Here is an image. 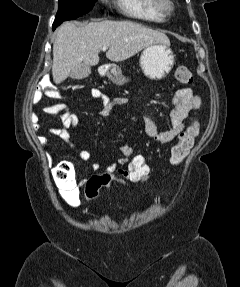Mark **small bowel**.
<instances>
[{"label": "small bowel", "instance_id": "small-bowel-1", "mask_svg": "<svg viewBox=\"0 0 240 287\" xmlns=\"http://www.w3.org/2000/svg\"><path fill=\"white\" fill-rule=\"evenodd\" d=\"M92 97L98 99L102 108L99 115L102 118H107L112 114V111L116 107H122L127 103V99L124 97H114L111 98L104 94L101 90L97 88H92L90 91ZM44 97L51 99L60 100L63 96L54 89H46L44 91L37 90L33 94V103H39ZM172 111L169 116V126L165 131H159L154 119L148 114H144V129L146 135L153 141L159 144H168L172 142L175 138H178L179 134L183 132L188 124L185 120L190 114L196 115L197 110L201 107V98L194 94L190 88H181L177 90L171 100ZM43 111L52 114L59 115L61 126L51 128L49 131L52 134L59 136L63 141H65L69 147L76 153L82 161H88L91 159V153L87 150L80 149L75 143L70 140V134L68 130H76L78 127V118L75 114H71L68 108L63 103H57L53 105H48L43 107ZM39 117L37 114H32V121L37 124ZM38 128V126H36ZM40 142L42 144L47 143L45 137H40ZM133 152V149L126 143L121 145V154L118 159L111 163L109 166L103 169L104 173L113 174L117 172L122 177L125 176L126 164ZM91 169L93 171H98L101 168L100 163L93 162L91 164ZM63 198L70 206L76 207L79 203V191L77 189L73 190L70 194H63Z\"/></svg>", "mask_w": 240, "mask_h": 287}]
</instances>
